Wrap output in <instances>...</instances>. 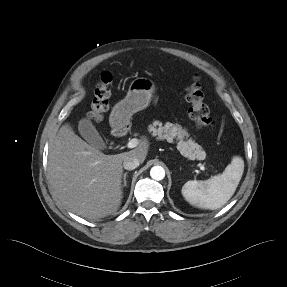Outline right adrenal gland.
<instances>
[{"mask_svg":"<svg viewBox=\"0 0 287 287\" xmlns=\"http://www.w3.org/2000/svg\"><path fill=\"white\" fill-rule=\"evenodd\" d=\"M126 177H127V172L124 173V175H123V187H125L127 185Z\"/></svg>","mask_w":287,"mask_h":287,"instance_id":"1","label":"right adrenal gland"}]
</instances>
